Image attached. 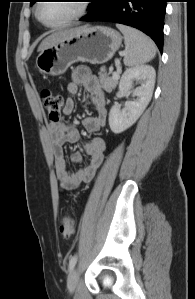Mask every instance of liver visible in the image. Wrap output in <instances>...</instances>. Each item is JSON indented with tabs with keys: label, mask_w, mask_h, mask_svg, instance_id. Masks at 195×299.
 <instances>
[{
	"label": "liver",
	"mask_w": 195,
	"mask_h": 299,
	"mask_svg": "<svg viewBox=\"0 0 195 299\" xmlns=\"http://www.w3.org/2000/svg\"><path fill=\"white\" fill-rule=\"evenodd\" d=\"M75 29H64V30H58L53 32L51 35L46 37L41 44L38 47V51H43L50 46L54 45L64 37L68 36L69 34L73 33Z\"/></svg>",
	"instance_id": "obj_1"
}]
</instances>
